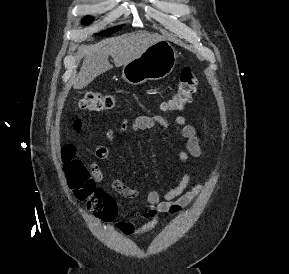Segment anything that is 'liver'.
<instances>
[{
    "label": "liver",
    "mask_w": 289,
    "mask_h": 274,
    "mask_svg": "<svg viewBox=\"0 0 289 274\" xmlns=\"http://www.w3.org/2000/svg\"><path fill=\"white\" fill-rule=\"evenodd\" d=\"M162 40L155 34H126L109 39L103 44L88 46L78 75L73 79L75 89L88 86L97 76L110 70L113 66L108 57L112 56L116 67H120L139 57L150 45Z\"/></svg>",
    "instance_id": "liver-1"
}]
</instances>
